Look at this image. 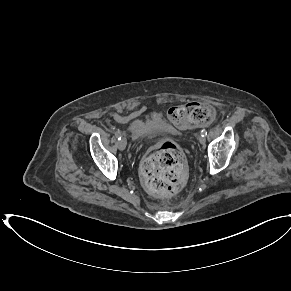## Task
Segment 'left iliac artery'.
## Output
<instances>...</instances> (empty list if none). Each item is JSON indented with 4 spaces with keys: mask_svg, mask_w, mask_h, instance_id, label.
I'll use <instances>...</instances> for the list:
<instances>
[{
    "mask_svg": "<svg viewBox=\"0 0 291 291\" xmlns=\"http://www.w3.org/2000/svg\"><path fill=\"white\" fill-rule=\"evenodd\" d=\"M201 134H202V136H206V135H207V131H206V129H203V130L201 131Z\"/></svg>",
    "mask_w": 291,
    "mask_h": 291,
    "instance_id": "left-iliac-artery-1",
    "label": "left iliac artery"
}]
</instances>
